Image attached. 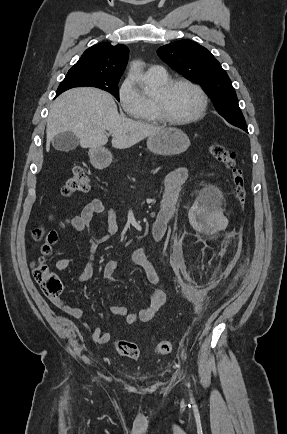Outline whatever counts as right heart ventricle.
<instances>
[{
	"instance_id": "e07e8e85",
	"label": "right heart ventricle",
	"mask_w": 287,
	"mask_h": 434,
	"mask_svg": "<svg viewBox=\"0 0 287 434\" xmlns=\"http://www.w3.org/2000/svg\"><path fill=\"white\" fill-rule=\"evenodd\" d=\"M150 78L157 85H161L166 81H168L169 79L167 73L164 77L161 78H156L152 76H150ZM143 96H144V106L141 109V111L138 114H136L134 117L140 122L153 123V124L160 123L162 120L159 118L156 112L153 98L144 94Z\"/></svg>"
}]
</instances>
